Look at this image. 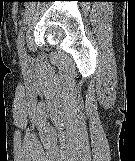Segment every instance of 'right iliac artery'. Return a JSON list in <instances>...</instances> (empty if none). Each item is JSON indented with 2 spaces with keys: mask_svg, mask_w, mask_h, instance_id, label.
Listing matches in <instances>:
<instances>
[{
  "mask_svg": "<svg viewBox=\"0 0 135 161\" xmlns=\"http://www.w3.org/2000/svg\"><path fill=\"white\" fill-rule=\"evenodd\" d=\"M17 47H18L20 57L24 58V56L26 55V51L24 48V35H23L22 31H20V33L18 35Z\"/></svg>",
  "mask_w": 135,
  "mask_h": 161,
  "instance_id": "1",
  "label": "right iliac artery"
}]
</instances>
